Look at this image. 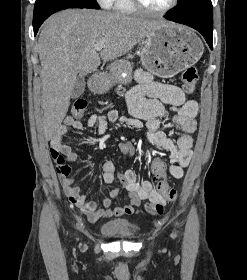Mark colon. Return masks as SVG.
I'll return each instance as SVG.
<instances>
[{"mask_svg": "<svg viewBox=\"0 0 247 280\" xmlns=\"http://www.w3.org/2000/svg\"><path fill=\"white\" fill-rule=\"evenodd\" d=\"M199 79L198 71L195 67H189L182 73L183 89L187 93L194 91ZM87 108V101L84 99H77L71 108L72 115L76 118H80L84 115ZM120 150L123 154L133 156L136 152V148L131 142H124L120 145ZM57 172L59 174L70 173V167L65 163L63 156L59 154L52 155ZM152 174L157 180L156 189L165 198L166 201H172L176 197V190L168 185L166 182V164L159 158H155L152 164ZM131 186V181L125 176H118L116 183L113 184L114 190L127 191Z\"/></svg>", "mask_w": 247, "mask_h": 280, "instance_id": "5ec220e1", "label": "colon"}]
</instances>
